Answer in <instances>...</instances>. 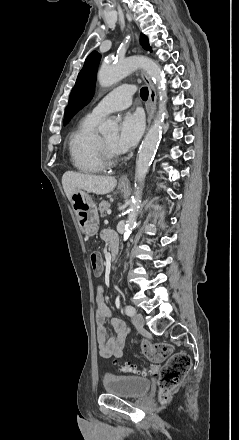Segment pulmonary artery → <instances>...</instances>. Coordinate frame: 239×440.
<instances>
[{"label": "pulmonary artery", "mask_w": 239, "mask_h": 440, "mask_svg": "<svg viewBox=\"0 0 239 440\" xmlns=\"http://www.w3.org/2000/svg\"><path fill=\"white\" fill-rule=\"evenodd\" d=\"M136 89L135 85L117 87L98 101L88 115L99 120L110 112L129 107L132 102V95Z\"/></svg>", "instance_id": "pulmonary-artery-1"}]
</instances>
